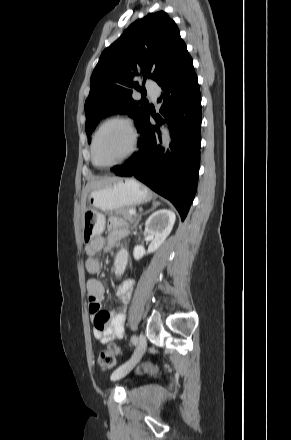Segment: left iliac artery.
I'll use <instances>...</instances> for the list:
<instances>
[{"label": "left iliac artery", "instance_id": "1", "mask_svg": "<svg viewBox=\"0 0 291 440\" xmlns=\"http://www.w3.org/2000/svg\"><path fill=\"white\" fill-rule=\"evenodd\" d=\"M137 341H138V338H137L135 335H133V336L131 337V342H132V344L135 345V344L137 343Z\"/></svg>", "mask_w": 291, "mask_h": 440}]
</instances>
